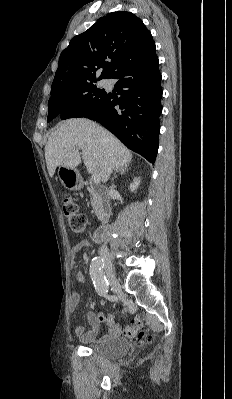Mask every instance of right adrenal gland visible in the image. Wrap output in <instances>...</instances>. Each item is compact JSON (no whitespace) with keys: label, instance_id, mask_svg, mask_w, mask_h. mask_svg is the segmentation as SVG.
Here are the masks:
<instances>
[{"label":"right adrenal gland","instance_id":"1","mask_svg":"<svg viewBox=\"0 0 232 399\" xmlns=\"http://www.w3.org/2000/svg\"><path fill=\"white\" fill-rule=\"evenodd\" d=\"M129 166H130V164H125V166H121V168H118V170H116V172H120L121 176H123V174H126ZM115 178H117L116 174H114V178H112V182H113V180H115Z\"/></svg>","mask_w":232,"mask_h":399}]
</instances>
